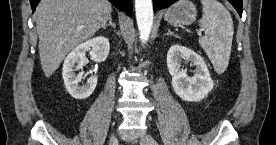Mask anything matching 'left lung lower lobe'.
<instances>
[{
    "instance_id": "left-lung-lower-lobe-1",
    "label": "left lung lower lobe",
    "mask_w": 276,
    "mask_h": 145,
    "mask_svg": "<svg viewBox=\"0 0 276 145\" xmlns=\"http://www.w3.org/2000/svg\"><path fill=\"white\" fill-rule=\"evenodd\" d=\"M177 0H153L154 3V11L157 9H163L170 6ZM233 7L237 10L240 16H242V0H228Z\"/></svg>"
}]
</instances>
